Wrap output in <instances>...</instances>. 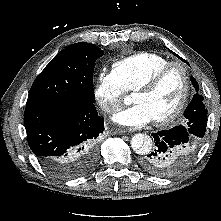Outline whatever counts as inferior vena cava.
I'll return each mask as SVG.
<instances>
[{
	"instance_id": "inferior-vena-cava-1",
	"label": "inferior vena cava",
	"mask_w": 221,
	"mask_h": 221,
	"mask_svg": "<svg viewBox=\"0 0 221 221\" xmlns=\"http://www.w3.org/2000/svg\"><path fill=\"white\" fill-rule=\"evenodd\" d=\"M104 111H106V112H108V113H111V112H113V111H115V110H114V108L106 107V108L104 109Z\"/></svg>"
}]
</instances>
